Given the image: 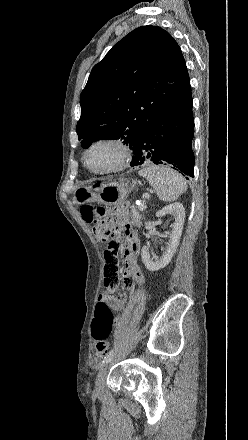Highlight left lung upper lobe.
<instances>
[{"mask_svg":"<svg viewBox=\"0 0 248 440\" xmlns=\"http://www.w3.org/2000/svg\"><path fill=\"white\" fill-rule=\"evenodd\" d=\"M189 84L181 49L167 31L151 25L133 30L93 67L80 95L81 146L121 139L132 149L147 124Z\"/></svg>","mask_w":248,"mask_h":440,"instance_id":"left-lung-upper-lobe-1","label":"left lung upper lobe"}]
</instances>
